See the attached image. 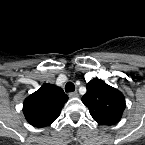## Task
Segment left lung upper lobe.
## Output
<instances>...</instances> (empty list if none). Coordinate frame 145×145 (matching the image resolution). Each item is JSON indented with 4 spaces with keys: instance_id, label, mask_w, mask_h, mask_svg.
Here are the masks:
<instances>
[{
    "instance_id": "1",
    "label": "left lung upper lobe",
    "mask_w": 145,
    "mask_h": 145,
    "mask_svg": "<svg viewBox=\"0 0 145 145\" xmlns=\"http://www.w3.org/2000/svg\"><path fill=\"white\" fill-rule=\"evenodd\" d=\"M82 102L100 125L118 123L126 106L124 95L98 78L87 84V93L82 97Z\"/></svg>"
}]
</instances>
